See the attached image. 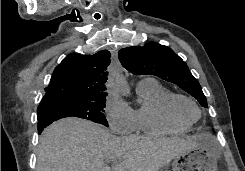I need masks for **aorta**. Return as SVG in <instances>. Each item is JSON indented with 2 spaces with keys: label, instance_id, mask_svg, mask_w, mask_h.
Segmentation results:
<instances>
[{
  "label": "aorta",
  "instance_id": "aorta-1",
  "mask_svg": "<svg viewBox=\"0 0 245 171\" xmlns=\"http://www.w3.org/2000/svg\"><path fill=\"white\" fill-rule=\"evenodd\" d=\"M110 82L117 88V90L124 96L130 95V88L125 79L120 73H114L110 76Z\"/></svg>",
  "mask_w": 245,
  "mask_h": 171
}]
</instances>
